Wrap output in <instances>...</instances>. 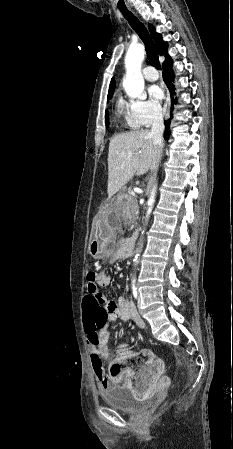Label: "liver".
<instances>
[{
    "mask_svg": "<svg viewBox=\"0 0 233 449\" xmlns=\"http://www.w3.org/2000/svg\"><path fill=\"white\" fill-rule=\"evenodd\" d=\"M156 156L157 147L148 130L113 137L108 152V197L116 194L135 174L140 176L152 169Z\"/></svg>",
    "mask_w": 233,
    "mask_h": 449,
    "instance_id": "1",
    "label": "liver"
}]
</instances>
